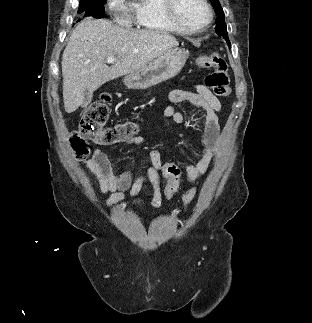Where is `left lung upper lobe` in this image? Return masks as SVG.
Here are the masks:
<instances>
[{
  "mask_svg": "<svg viewBox=\"0 0 312 323\" xmlns=\"http://www.w3.org/2000/svg\"><path fill=\"white\" fill-rule=\"evenodd\" d=\"M212 3V6L215 10V12L217 13L218 17L216 20V32L219 36H222L228 43V46H230V41L228 39V34H227V29H226V23H225V15L224 12L222 10V7L220 5L219 0H210Z\"/></svg>",
  "mask_w": 312,
  "mask_h": 323,
  "instance_id": "left-lung-upper-lobe-1",
  "label": "left lung upper lobe"
}]
</instances>
